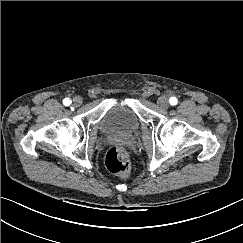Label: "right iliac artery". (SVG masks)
<instances>
[{
  "label": "right iliac artery",
  "mask_w": 243,
  "mask_h": 243,
  "mask_svg": "<svg viewBox=\"0 0 243 243\" xmlns=\"http://www.w3.org/2000/svg\"><path fill=\"white\" fill-rule=\"evenodd\" d=\"M63 104H64L65 106H69V105L71 104V100H70L69 98H65V99L63 100Z\"/></svg>",
  "instance_id": "1"
}]
</instances>
